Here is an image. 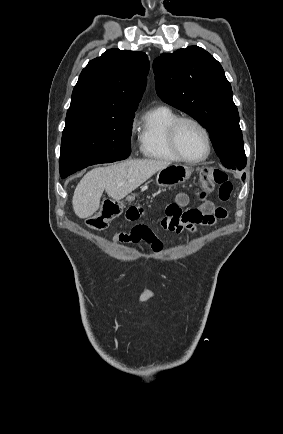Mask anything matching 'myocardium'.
<instances>
[{
    "label": "myocardium",
    "mask_w": 283,
    "mask_h": 434,
    "mask_svg": "<svg viewBox=\"0 0 283 434\" xmlns=\"http://www.w3.org/2000/svg\"><path fill=\"white\" fill-rule=\"evenodd\" d=\"M186 122L192 123L195 126H197L204 135L205 142H206V151H205L204 155H202L199 158L186 157L180 151V148L178 146V141H177L178 130H179V127L183 123H186ZM168 142H169V146H170L172 152L175 154V156L180 161H183L186 163L196 164V163L203 162L204 160H206L209 157L211 150H212L211 137H210V134H209V131L207 130V128L199 120H197L196 118H193V117H189V116L178 117L177 119H175L172 122V124L170 125V127L168 129Z\"/></svg>",
    "instance_id": "1"
}]
</instances>
